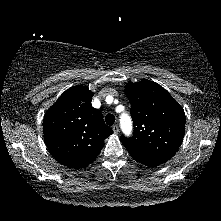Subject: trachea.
<instances>
[{
  "instance_id": "trachea-1",
  "label": "trachea",
  "mask_w": 221,
  "mask_h": 221,
  "mask_svg": "<svg viewBox=\"0 0 221 221\" xmlns=\"http://www.w3.org/2000/svg\"><path fill=\"white\" fill-rule=\"evenodd\" d=\"M107 125L112 126L115 122V116L113 114H107L105 117Z\"/></svg>"
}]
</instances>
